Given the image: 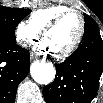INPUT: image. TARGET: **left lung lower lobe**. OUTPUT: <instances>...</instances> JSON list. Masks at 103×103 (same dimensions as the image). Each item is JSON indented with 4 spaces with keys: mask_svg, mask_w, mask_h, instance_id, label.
<instances>
[{
    "mask_svg": "<svg viewBox=\"0 0 103 103\" xmlns=\"http://www.w3.org/2000/svg\"><path fill=\"white\" fill-rule=\"evenodd\" d=\"M55 67V80L43 90L46 102L90 103L103 73V40L98 26L85 30L79 47Z\"/></svg>",
    "mask_w": 103,
    "mask_h": 103,
    "instance_id": "1",
    "label": "left lung lower lobe"
}]
</instances>
